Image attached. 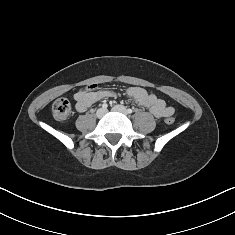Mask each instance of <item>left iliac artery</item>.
<instances>
[{"mask_svg": "<svg viewBox=\"0 0 235 235\" xmlns=\"http://www.w3.org/2000/svg\"><path fill=\"white\" fill-rule=\"evenodd\" d=\"M132 112H133L132 109H130V108L127 109V113H128V114H131Z\"/></svg>", "mask_w": 235, "mask_h": 235, "instance_id": "1", "label": "left iliac artery"}]
</instances>
